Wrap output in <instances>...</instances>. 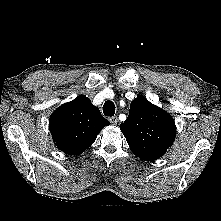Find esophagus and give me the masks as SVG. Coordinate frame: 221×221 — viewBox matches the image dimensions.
Returning a JSON list of instances; mask_svg holds the SVG:
<instances>
[{
	"mask_svg": "<svg viewBox=\"0 0 221 221\" xmlns=\"http://www.w3.org/2000/svg\"><path fill=\"white\" fill-rule=\"evenodd\" d=\"M110 122H111L112 124H117V123H118V117H117V116L111 117V118H110Z\"/></svg>",
	"mask_w": 221,
	"mask_h": 221,
	"instance_id": "1",
	"label": "esophagus"
}]
</instances>
